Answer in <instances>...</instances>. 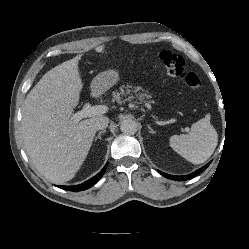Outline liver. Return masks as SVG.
I'll list each match as a JSON object with an SVG mask.
<instances>
[{
    "mask_svg": "<svg viewBox=\"0 0 249 249\" xmlns=\"http://www.w3.org/2000/svg\"><path fill=\"white\" fill-rule=\"evenodd\" d=\"M79 56L43 75L28 93L23 107L22 138L36 169L53 183L71 180L91 148L94 121L71 120L83 88Z\"/></svg>",
    "mask_w": 249,
    "mask_h": 249,
    "instance_id": "obj_1",
    "label": "liver"
}]
</instances>
